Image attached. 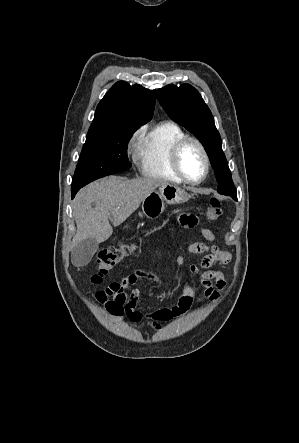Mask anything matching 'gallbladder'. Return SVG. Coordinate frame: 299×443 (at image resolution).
Listing matches in <instances>:
<instances>
[{
    "label": "gallbladder",
    "instance_id": "1",
    "mask_svg": "<svg viewBox=\"0 0 299 443\" xmlns=\"http://www.w3.org/2000/svg\"><path fill=\"white\" fill-rule=\"evenodd\" d=\"M99 244L92 238H87L77 244L73 249V261L76 265H87L95 252L98 250Z\"/></svg>",
    "mask_w": 299,
    "mask_h": 443
}]
</instances>
